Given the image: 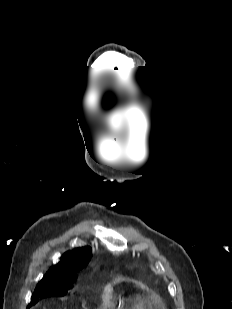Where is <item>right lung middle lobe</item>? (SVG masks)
<instances>
[{
	"label": "right lung middle lobe",
	"instance_id": "dd1d6c3e",
	"mask_svg": "<svg viewBox=\"0 0 232 309\" xmlns=\"http://www.w3.org/2000/svg\"><path fill=\"white\" fill-rule=\"evenodd\" d=\"M72 281L39 282L31 297L29 307L35 305L40 299L50 296H64L72 288Z\"/></svg>",
	"mask_w": 232,
	"mask_h": 309
}]
</instances>
